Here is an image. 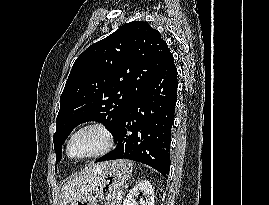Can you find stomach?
<instances>
[{"label":"stomach","instance_id":"stomach-1","mask_svg":"<svg viewBox=\"0 0 269 205\" xmlns=\"http://www.w3.org/2000/svg\"><path fill=\"white\" fill-rule=\"evenodd\" d=\"M132 171L133 164L129 160L109 162L93 190L73 200L70 205H99V200L112 204L116 201L121 187L130 178Z\"/></svg>","mask_w":269,"mask_h":205}]
</instances>
